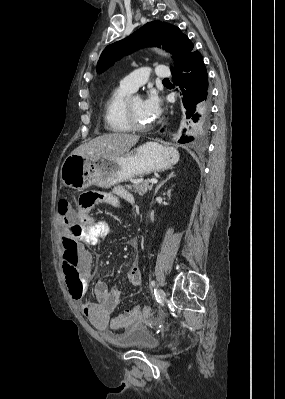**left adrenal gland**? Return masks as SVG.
<instances>
[{
    "mask_svg": "<svg viewBox=\"0 0 285 399\" xmlns=\"http://www.w3.org/2000/svg\"><path fill=\"white\" fill-rule=\"evenodd\" d=\"M175 177V173L171 172L166 179H164L159 185H157V187L155 188V195L158 193L159 189L171 178Z\"/></svg>",
    "mask_w": 285,
    "mask_h": 399,
    "instance_id": "a2214340",
    "label": "left adrenal gland"
}]
</instances>
